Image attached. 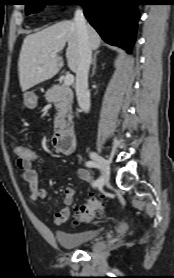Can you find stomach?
Returning a JSON list of instances; mask_svg holds the SVG:
<instances>
[{
  "instance_id": "obj_1",
  "label": "stomach",
  "mask_w": 174,
  "mask_h": 278,
  "mask_svg": "<svg viewBox=\"0 0 174 278\" xmlns=\"http://www.w3.org/2000/svg\"><path fill=\"white\" fill-rule=\"evenodd\" d=\"M24 98V104L26 107L33 109L37 106V96L34 92H26L23 95Z\"/></svg>"
}]
</instances>
